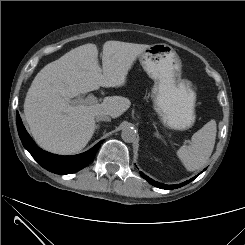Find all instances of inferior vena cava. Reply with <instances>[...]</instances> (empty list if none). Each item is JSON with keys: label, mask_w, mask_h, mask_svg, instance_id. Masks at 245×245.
Here are the masks:
<instances>
[{"label": "inferior vena cava", "mask_w": 245, "mask_h": 245, "mask_svg": "<svg viewBox=\"0 0 245 245\" xmlns=\"http://www.w3.org/2000/svg\"><path fill=\"white\" fill-rule=\"evenodd\" d=\"M110 120L111 118L106 114H102V113L96 114V121H110Z\"/></svg>", "instance_id": "602c4592"}]
</instances>
